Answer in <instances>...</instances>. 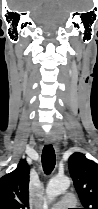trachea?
<instances>
[{"label": "trachea", "instance_id": "1", "mask_svg": "<svg viewBox=\"0 0 98 209\" xmlns=\"http://www.w3.org/2000/svg\"><path fill=\"white\" fill-rule=\"evenodd\" d=\"M56 157L53 146L45 145L42 152V166L46 174H50L55 167Z\"/></svg>", "mask_w": 98, "mask_h": 209}]
</instances>
